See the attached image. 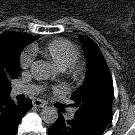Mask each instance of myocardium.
Masks as SVG:
<instances>
[{
  "label": "myocardium",
  "instance_id": "1",
  "mask_svg": "<svg viewBox=\"0 0 135 135\" xmlns=\"http://www.w3.org/2000/svg\"><path fill=\"white\" fill-rule=\"evenodd\" d=\"M68 75L74 82H82L86 76V70L82 63L74 62L68 70Z\"/></svg>",
  "mask_w": 135,
  "mask_h": 135
}]
</instances>
